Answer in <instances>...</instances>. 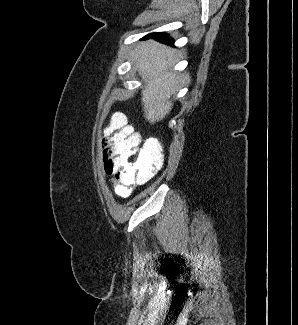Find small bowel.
Instances as JSON below:
<instances>
[{"label": "small bowel", "mask_w": 298, "mask_h": 325, "mask_svg": "<svg viewBox=\"0 0 298 325\" xmlns=\"http://www.w3.org/2000/svg\"><path fill=\"white\" fill-rule=\"evenodd\" d=\"M110 183L112 184L115 193L120 197H128L133 190L136 188V185L133 186H124L118 183L114 178L110 180Z\"/></svg>", "instance_id": "1"}]
</instances>
